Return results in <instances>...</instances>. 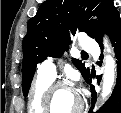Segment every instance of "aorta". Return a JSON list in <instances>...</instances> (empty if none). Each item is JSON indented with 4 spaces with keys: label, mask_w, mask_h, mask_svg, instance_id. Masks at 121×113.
<instances>
[{
    "label": "aorta",
    "mask_w": 121,
    "mask_h": 113,
    "mask_svg": "<svg viewBox=\"0 0 121 113\" xmlns=\"http://www.w3.org/2000/svg\"><path fill=\"white\" fill-rule=\"evenodd\" d=\"M105 49L110 52V45L105 39ZM115 60L111 55L105 57V70L103 75V87H102V98L106 99L112 92V87L115 81Z\"/></svg>",
    "instance_id": "1"
}]
</instances>
